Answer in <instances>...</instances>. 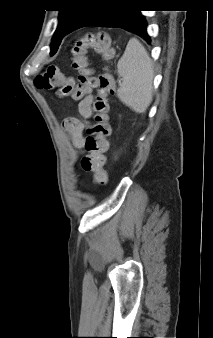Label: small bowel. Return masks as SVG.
Returning a JSON list of instances; mask_svg holds the SVG:
<instances>
[{"instance_id": "obj_1", "label": "small bowel", "mask_w": 213, "mask_h": 338, "mask_svg": "<svg viewBox=\"0 0 213 338\" xmlns=\"http://www.w3.org/2000/svg\"><path fill=\"white\" fill-rule=\"evenodd\" d=\"M93 98L90 95L85 96L78 105V113L80 119L78 121V127L75 130H67V134L70 138L73 148L79 152L83 153L85 151V130L88 127L87 119H89L93 114L92 108Z\"/></svg>"}]
</instances>
